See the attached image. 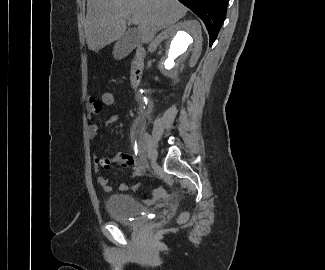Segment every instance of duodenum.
<instances>
[{
	"label": "duodenum",
	"instance_id": "1",
	"mask_svg": "<svg viewBox=\"0 0 325 270\" xmlns=\"http://www.w3.org/2000/svg\"><path fill=\"white\" fill-rule=\"evenodd\" d=\"M144 59H145V49L143 47H137L134 56L131 61L130 70V81L131 85L138 89L142 82L143 72H144ZM140 100H142L140 98Z\"/></svg>",
	"mask_w": 325,
	"mask_h": 270
}]
</instances>
